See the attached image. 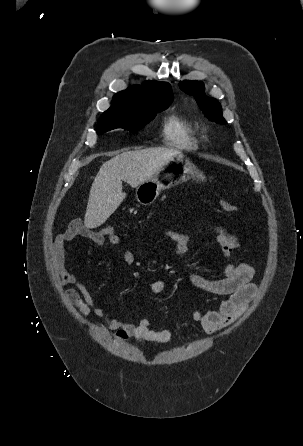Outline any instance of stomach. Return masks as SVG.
<instances>
[{
  "mask_svg": "<svg viewBox=\"0 0 303 446\" xmlns=\"http://www.w3.org/2000/svg\"><path fill=\"white\" fill-rule=\"evenodd\" d=\"M203 181V174L183 155H178L160 167L147 181L136 189L135 197L142 205L152 204L162 190L169 189L189 179Z\"/></svg>",
  "mask_w": 303,
  "mask_h": 446,
  "instance_id": "1",
  "label": "stomach"
}]
</instances>
